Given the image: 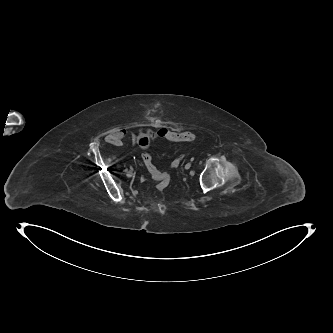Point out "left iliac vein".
Masks as SVG:
<instances>
[{"instance_id":"obj_1","label":"left iliac vein","mask_w":333,"mask_h":333,"mask_svg":"<svg viewBox=\"0 0 333 333\" xmlns=\"http://www.w3.org/2000/svg\"><path fill=\"white\" fill-rule=\"evenodd\" d=\"M191 167V163H187L186 165H185V169H189Z\"/></svg>"}]
</instances>
